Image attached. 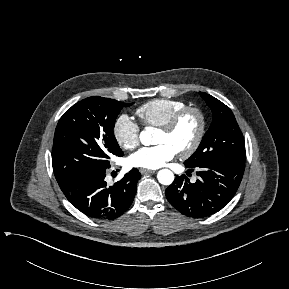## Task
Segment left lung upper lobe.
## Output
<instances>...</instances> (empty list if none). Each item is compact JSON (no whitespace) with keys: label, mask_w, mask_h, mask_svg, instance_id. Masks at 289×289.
<instances>
[{"label":"left lung upper lobe","mask_w":289,"mask_h":289,"mask_svg":"<svg viewBox=\"0 0 289 289\" xmlns=\"http://www.w3.org/2000/svg\"><path fill=\"white\" fill-rule=\"evenodd\" d=\"M199 95L211 108L213 120L198 149L185 165L197 167L204 162L224 158L245 161L243 134L231 109L209 94L199 92Z\"/></svg>","instance_id":"left-lung-upper-lobe-1"}]
</instances>
